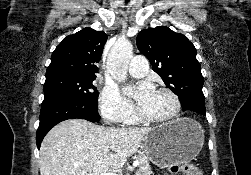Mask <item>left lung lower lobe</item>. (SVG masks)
Here are the masks:
<instances>
[{"label":"left lung lower lobe","instance_id":"0a47b994","mask_svg":"<svg viewBox=\"0 0 251 175\" xmlns=\"http://www.w3.org/2000/svg\"><path fill=\"white\" fill-rule=\"evenodd\" d=\"M183 111H185L191 117H202L206 115L205 104H186L182 105Z\"/></svg>","mask_w":251,"mask_h":175}]
</instances>
